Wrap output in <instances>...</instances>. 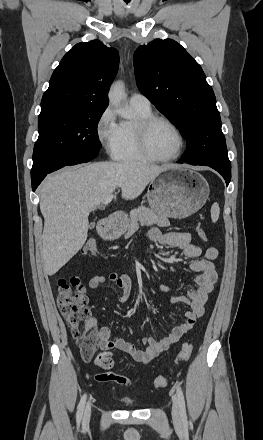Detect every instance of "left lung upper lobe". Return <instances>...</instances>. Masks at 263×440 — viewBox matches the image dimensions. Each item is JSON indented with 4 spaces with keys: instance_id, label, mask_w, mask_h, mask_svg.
<instances>
[{
    "instance_id": "5c2ea615",
    "label": "left lung upper lobe",
    "mask_w": 263,
    "mask_h": 440,
    "mask_svg": "<svg viewBox=\"0 0 263 440\" xmlns=\"http://www.w3.org/2000/svg\"><path fill=\"white\" fill-rule=\"evenodd\" d=\"M137 86L187 139L191 165L231 166L213 89L200 65L172 39L134 53Z\"/></svg>"
}]
</instances>
